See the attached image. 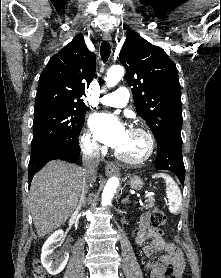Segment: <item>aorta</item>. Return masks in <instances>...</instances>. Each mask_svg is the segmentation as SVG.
Listing matches in <instances>:
<instances>
[{
	"label": "aorta",
	"mask_w": 221,
	"mask_h": 278,
	"mask_svg": "<svg viewBox=\"0 0 221 278\" xmlns=\"http://www.w3.org/2000/svg\"><path fill=\"white\" fill-rule=\"evenodd\" d=\"M124 75V68L120 65H114L109 68L105 82L107 87H114L119 83L121 78ZM119 185V179L117 177H111L104 187L103 193H102V206H107L111 203L114 194L116 193V190Z\"/></svg>",
	"instance_id": "762f6f07"
}]
</instances>
